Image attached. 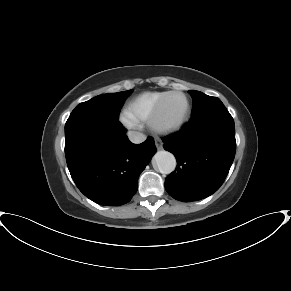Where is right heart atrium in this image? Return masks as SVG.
<instances>
[{
	"label": "right heart atrium",
	"instance_id": "1",
	"mask_svg": "<svg viewBox=\"0 0 291 291\" xmlns=\"http://www.w3.org/2000/svg\"><path fill=\"white\" fill-rule=\"evenodd\" d=\"M121 121L127 127H133L136 124V122L127 113H124L121 116Z\"/></svg>",
	"mask_w": 291,
	"mask_h": 291
}]
</instances>
